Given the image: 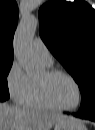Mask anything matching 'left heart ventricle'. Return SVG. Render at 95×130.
<instances>
[{
	"instance_id": "1",
	"label": "left heart ventricle",
	"mask_w": 95,
	"mask_h": 130,
	"mask_svg": "<svg viewBox=\"0 0 95 130\" xmlns=\"http://www.w3.org/2000/svg\"><path fill=\"white\" fill-rule=\"evenodd\" d=\"M38 81H46L51 98L63 107H74L78 102V91L74 83L63 75H58L50 80L43 73Z\"/></svg>"
}]
</instances>
